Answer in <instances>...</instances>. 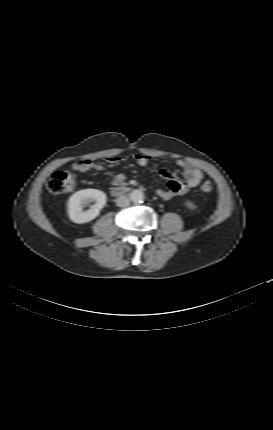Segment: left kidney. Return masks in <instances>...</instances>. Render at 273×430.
<instances>
[{
  "instance_id": "1",
  "label": "left kidney",
  "mask_w": 273,
  "mask_h": 430,
  "mask_svg": "<svg viewBox=\"0 0 273 430\" xmlns=\"http://www.w3.org/2000/svg\"><path fill=\"white\" fill-rule=\"evenodd\" d=\"M186 205H187V207L189 208V209H196V205L195 204H193L192 202H190V201H187L186 202Z\"/></svg>"
}]
</instances>
